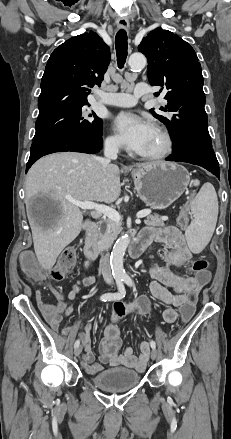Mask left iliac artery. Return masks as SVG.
Wrapping results in <instances>:
<instances>
[{"label":"left iliac artery","mask_w":231,"mask_h":439,"mask_svg":"<svg viewBox=\"0 0 231 439\" xmlns=\"http://www.w3.org/2000/svg\"><path fill=\"white\" fill-rule=\"evenodd\" d=\"M123 281H124L128 286H132V285H133L132 279H131L128 275H125V276L123 277ZM150 346H151L152 349H155V348H156V343H155V341L152 340V341L150 342Z\"/></svg>","instance_id":"left-iliac-artery-1"}]
</instances>
